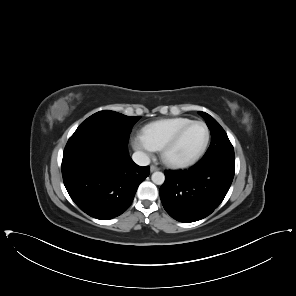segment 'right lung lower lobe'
<instances>
[{
    "instance_id": "right-lung-lower-lobe-1",
    "label": "right lung lower lobe",
    "mask_w": 296,
    "mask_h": 296,
    "mask_svg": "<svg viewBox=\"0 0 296 296\" xmlns=\"http://www.w3.org/2000/svg\"><path fill=\"white\" fill-rule=\"evenodd\" d=\"M127 143L97 134L72 136L62 160L64 185L76 205L91 217L112 219L131 205L149 166L135 164Z\"/></svg>"
}]
</instances>
